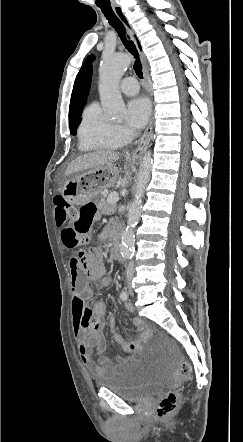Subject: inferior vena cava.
Returning a JSON list of instances; mask_svg holds the SVG:
<instances>
[{
    "mask_svg": "<svg viewBox=\"0 0 243 442\" xmlns=\"http://www.w3.org/2000/svg\"><path fill=\"white\" fill-rule=\"evenodd\" d=\"M134 274V262L130 261L127 267V278L132 279Z\"/></svg>",
    "mask_w": 243,
    "mask_h": 442,
    "instance_id": "602c4592",
    "label": "inferior vena cava"
}]
</instances>
